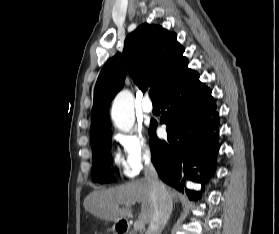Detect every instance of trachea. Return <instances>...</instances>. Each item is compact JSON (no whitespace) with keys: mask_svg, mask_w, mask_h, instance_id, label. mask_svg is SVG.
<instances>
[{"mask_svg":"<svg viewBox=\"0 0 279 234\" xmlns=\"http://www.w3.org/2000/svg\"><path fill=\"white\" fill-rule=\"evenodd\" d=\"M149 95H150L153 102H157V93H156L155 89H151L149 91Z\"/></svg>","mask_w":279,"mask_h":234,"instance_id":"1","label":"trachea"}]
</instances>
